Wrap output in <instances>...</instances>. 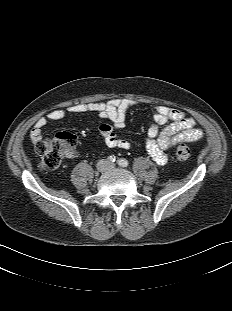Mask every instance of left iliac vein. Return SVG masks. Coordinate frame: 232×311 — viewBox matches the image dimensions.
Wrapping results in <instances>:
<instances>
[{
	"mask_svg": "<svg viewBox=\"0 0 232 311\" xmlns=\"http://www.w3.org/2000/svg\"><path fill=\"white\" fill-rule=\"evenodd\" d=\"M109 167H110V168H114V167H115V165H114V164H111Z\"/></svg>",
	"mask_w": 232,
	"mask_h": 311,
	"instance_id": "1",
	"label": "left iliac vein"
}]
</instances>
